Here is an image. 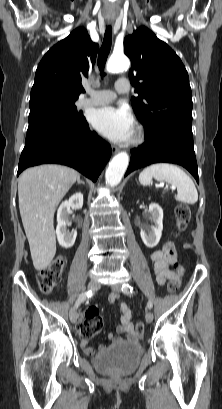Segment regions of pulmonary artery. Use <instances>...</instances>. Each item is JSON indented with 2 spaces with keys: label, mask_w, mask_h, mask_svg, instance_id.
Returning a JSON list of instances; mask_svg holds the SVG:
<instances>
[{
  "label": "pulmonary artery",
  "mask_w": 222,
  "mask_h": 409,
  "mask_svg": "<svg viewBox=\"0 0 222 409\" xmlns=\"http://www.w3.org/2000/svg\"><path fill=\"white\" fill-rule=\"evenodd\" d=\"M88 96L81 99L82 106H97L112 102L117 94H124L129 91V86L122 80L115 83V90H95L91 87L86 89Z\"/></svg>",
  "instance_id": "e3ab8cb5"
}]
</instances>
